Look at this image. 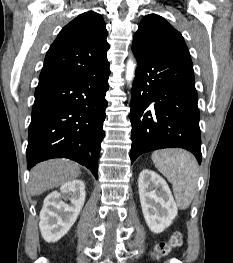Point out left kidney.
I'll return each mask as SVG.
<instances>
[{
    "label": "left kidney",
    "mask_w": 233,
    "mask_h": 263,
    "mask_svg": "<svg viewBox=\"0 0 233 263\" xmlns=\"http://www.w3.org/2000/svg\"><path fill=\"white\" fill-rule=\"evenodd\" d=\"M140 203L145 221L154 233H161L172 224L177 205L166 181L152 170L144 169L138 179Z\"/></svg>",
    "instance_id": "1"
}]
</instances>
